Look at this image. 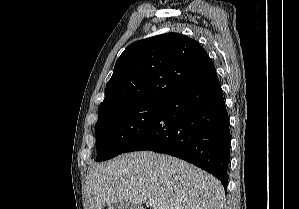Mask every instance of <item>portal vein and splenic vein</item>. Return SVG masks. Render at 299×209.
<instances>
[{
  "label": "portal vein and splenic vein",
  "mask_w": 299,
  "mask_h": 209,
  "mask_svg": "<svg viewBox=\"0 0 299 209\" xmlns=\"http://www.w3.org/2000/svg\"><path fill=\"white\" fill-rule=\"evenodd\" d=\"M149 204L151 207H155L157 205L156 201H154V200L149 201ZM159 209H169V208L161 206V207H159Z\"/></svg>",
  "instance_id": "obj_1"
}]
</instances>
